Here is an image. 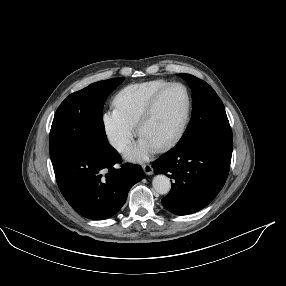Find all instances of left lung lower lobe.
I'll return each mask as SVG.
<instances>
[{"label":"left lung lower lobe","instance_id":"1","mask_svg":"<svg viewBox=\"0 0 286 286\" xmlns=\"http://www.w3.org/2000/svg\"><path fill=\"white\" fill-rule=\"evenodd\" d=\"M232 142H203L172 148L153 163L155 174L172 177L171 191L163 206L177 215L195 213L207 206L225 184Z\"/></svg>","mask_w":286,"mask_h":286}]
</instances>
